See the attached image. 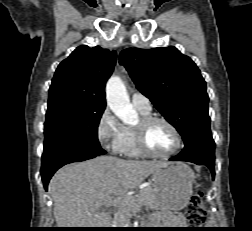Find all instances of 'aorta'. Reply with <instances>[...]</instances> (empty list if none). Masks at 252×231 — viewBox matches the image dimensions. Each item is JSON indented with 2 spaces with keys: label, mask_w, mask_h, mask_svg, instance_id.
<instances>
[{
  "label": "aorta",
  "mask_w": 252,
  "mask_h": 231,
  "mask_svg": "<svg viewBox=\"0 0 252 231\" xmlns=\"http://www.w3.org/2000/svg\"><path fill=\"white\" fill-rule=\"evenodd\" d=\"M106 100L112 112L125 124L134 123L138 114L130 103L125 85L120 77L112 76L106 85Z\"/></svg>",
  "instance_id": "aorta-1"
}]
</instances>
